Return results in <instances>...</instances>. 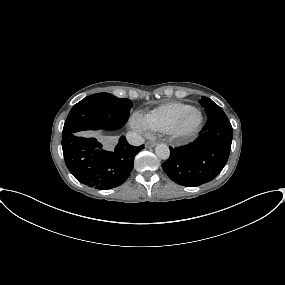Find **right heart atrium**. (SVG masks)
Segmentation results:
<instances>
[{"label": "right heart atrium", "instance_id": "d8ad5b80", "mask_svg": "<svg viewBox=\"0 0 285 285\" xmlns=\"http://www.w3.org/2000/svg\"><path fill=\"white\" fill-rule=\"evenodd\" d=\"M131 123H132L133 126L139 128V129H143V127L141 126V124L139 123L137 118H133Z\"/></svg>", "mask_w": 285, "mask_h": 285}]
</instances>
